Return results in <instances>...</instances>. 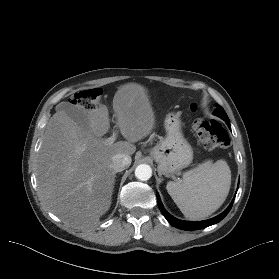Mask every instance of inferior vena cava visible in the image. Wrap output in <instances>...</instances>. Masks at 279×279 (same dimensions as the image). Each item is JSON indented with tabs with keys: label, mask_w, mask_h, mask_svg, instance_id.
Listing matches in <instances>:
<instances>
[{
	"label": "inferior vena cava",
	"mask_w": 279,
	"mask_h": 279,
	"mask_svg": "<svg viewBox=\"0 0 279 279\" xmlns=\"http://www.w3.org/2000/svg\"><path fill=\"white\" fill-rule=\"evenodd\" d=\"M112 168L115 172H121L131 164V157L129 155L118 153L112 158Z\"/></svg>",
	"instance_id": "602c4592"
}]
</instances>
